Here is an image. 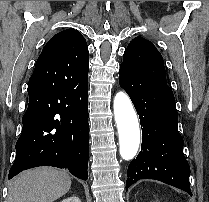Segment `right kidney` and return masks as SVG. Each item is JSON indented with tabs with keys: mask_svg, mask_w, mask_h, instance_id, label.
<instances>
[{
	"mask_svg": "<svg viewBox=\"0 0 209 202\" xmlns=\"http://www.w3.org/2000/svg\"><path fill=\"white\" fill-rule=\"evenodd\" d=\"M61 202H81V200L76 196H72L62 200Z\"/></svg>",
	"mask_w": 209,
	"mask_h": 202,
	"instance_id": "1",
	"label": "right kidney"
}]
</instances>
